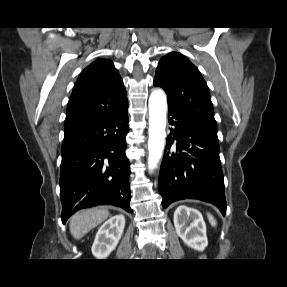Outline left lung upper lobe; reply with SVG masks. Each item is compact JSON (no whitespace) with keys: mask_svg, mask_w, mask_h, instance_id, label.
Wrapping results in <instances>:
<instances>
[{"mask_svg":"<svg viewBox=\"0 0 287 287\" xmlns=\"http://www.w3.org/2000/svg\"><path fill=\"white\" fill-rule=\"evenodd\" d=\"M153 84L165 90L168 107L217 136L209 88L199 70L185 56L172 52L163 57L158 63Z\"/></svg>","mask_w":287,"mask_h":287,"instance_id":"1","label":"left lung upper lobe"}]
</instances>
